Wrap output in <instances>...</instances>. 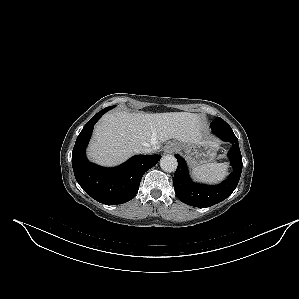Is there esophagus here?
<instances>
[{
  "mask_svg": "<svg viewBox=\"0 0 299 299\" xmlns=\"http://www.w3.org/2000/svg\"><path fill=\"white\" fill-rule=\"evenodd\" d=\"M175 146L173 144H169L165 147L164 151L165 153H173L175 151Z\"/></svg>",
  "mask_w": 299,
  "mask_h": 299,
  "instance_id": "esophagus-1",
  "label": "esophagus"
}]
</instances>
